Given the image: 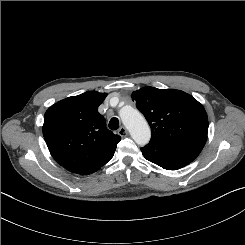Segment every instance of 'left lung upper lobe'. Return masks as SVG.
I'll return each mask as SVG.
<instances>
[{
	"label": "left lung upper lobe",
	"mask_w": 245,
	"mask_h": 245,
	"mask_svg": "<svg viewBox=\"0 0 245 245\" xmlns=\"http://www.w3.org/2000/svg\"><path fill=\"white\" fill-rule=\"evenodd\" d=\"M131 96L151 127V141L199 155L207 140L208 118L196 99L180 90L154 87Z\"/></svg>",
	"instance_id": "left-lung-upper-lobe-1"
}]
</instances>
